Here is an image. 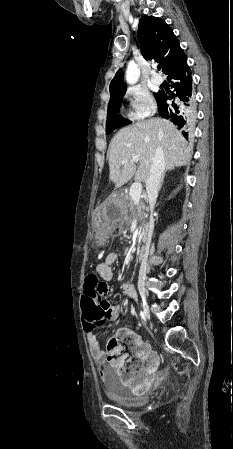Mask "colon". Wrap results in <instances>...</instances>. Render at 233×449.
Segmentation results:
<instances>
[{
  "mask_svg": "<svg viewBox=\"0 0 233 449\" xmlns=\"http://www.w3.org/2000/svg\"><path fill=\"white\" fill-rule=\"evenodd\" d=\"M99 278L95 273H89L85 278V291L80 298L82 306V326L83 328H102L104 316L103 308L99 306L97 300L98 294L95 287L98 285ZM132 337L128 333H123L112 338L107 345L108 358L114 362H120L121 351L119 347L125 344H131Z\"/></svg>",
  "mask_w": 233,
  "mask_h": 449,
  "instance_id": "colon-1",
  "label": "colon"
}]
</instances>
